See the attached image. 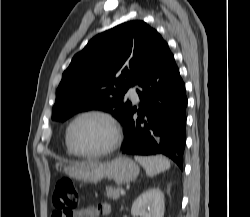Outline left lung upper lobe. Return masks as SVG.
Here are the masks:
<instances>
[{
    "mask_svg": "<svg viewBox=\"0 0 250 217\" xmlns=\"http://www.w3.org/2000/svg\"><path fill=\"white\" fill-rule=\"evenodd\" d=\"M162 41L143 21H129L95 36L63 73L52 119L65 121L78 112L99 109L123 124L132 107L124 95L148 71Z\"/></svg>",
    "mask_w": 250,
    "mask_h": 217,
    "instance_id": "left-lung-upper-lobe-1",
    "label": "left lung upper lobe"
}]
</instances>
